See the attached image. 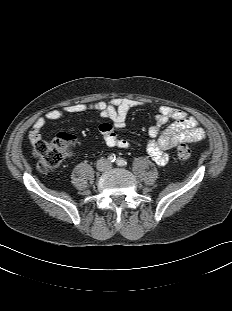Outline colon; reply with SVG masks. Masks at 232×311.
Masks as SVG:
<instances>
[{
  "instance_id": "colon-1",
  "label": "colon",
  "mask_w": 232,
  "mask_h": 311,
  "mask_svg": "<svg viewBox=\"0 0 232 311\" xmlns=\"http://www.w3.org/2000/svg\"><path fill=\"white\" fill-rule=\"evenodd\" d=\"M71 136L60 134L50 140H39L34 145V154L38 159V168L49 171L58 167L70 149ZM179 160L187 161L191 157V150L186 144H180L176 150Z\"/></svg>"
}]
</instances>
